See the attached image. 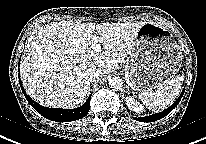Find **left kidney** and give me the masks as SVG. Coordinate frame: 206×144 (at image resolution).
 Masks as SVG:
<instances>
[{
	"mask_svg": "<svg viewBox=\"0 0 206 144\" xmlns=\"http://www.w3.org/2000/svg\"><path fill=\"white\" fill-rule=\"evenodd\" d=\"M126 105L127 107L131 110L134 111L136 113H142L143 112V107L142 105L137 102L134 98H132L131 96H127L126 99Z\"/></svg>",
	"mask_w": 206,
	"mask_h": 144,
	"instance_id": "5707ae66",
	"label": "left kidney"
}]
</instances>
